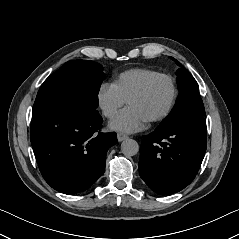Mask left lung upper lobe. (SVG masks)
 Here are the masks:
<instances>
[{"label":"left lung upper lobe","mask_w":239,"mask_h":239,"mask_svg":"<svg viewBox=\"0 0 239 239\" xmlns=\"http://www.w3.org/2000/svg\"><path fill=\"white\" fill-rule=\"evenodd\" d=\"M171 59L180 67L176 71L179 95L172 111L157 129L166 128L188 116H205L198 83L177 60Z\"/></svg>","instance_id":"obj_1"}]
</instances>
